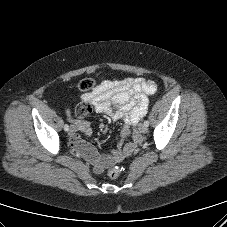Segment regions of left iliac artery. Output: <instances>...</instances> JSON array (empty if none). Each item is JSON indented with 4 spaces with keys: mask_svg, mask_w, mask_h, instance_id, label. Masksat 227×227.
Returning <instances> with one entry per match:
<instances>
[{
    "mask_svg": "<svg viewBox=\"0 0 227 227\" xmlns=\"http://www.w3.org/2000/svg\"><path fill=\"white\" fill-rule=\"evenodd\" d=\"M144 125L149 126V121L146 120V121L144 122Z\"/></svg>",
    "mask_w": 227,
    "mask_h": 227,
    "instance_id": "1",
    "label": "left iliac artery"
}]
</instances>
